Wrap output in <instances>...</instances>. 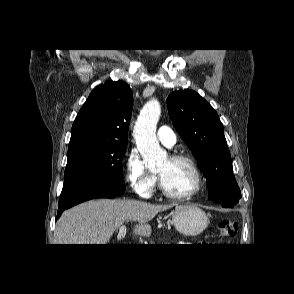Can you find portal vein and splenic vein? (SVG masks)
<instances>
[{
	"label": "portal vein and splenic vein",
	"mask_w": 294,
	"mask_h": 294,
	"mask_svg": "<svg viewBox=\"0 0 294 294\" xmlns=\"http://www.w3.org/2000/svg\"><path fill=\"white\" fill-rule=\"evenodd\" d=\"M125 234H126V227L124 225H121L119 228L117 239L121 240L125 236Z\"/></svg>",
	"instance_id": "obj_1"
}]
</instances>
